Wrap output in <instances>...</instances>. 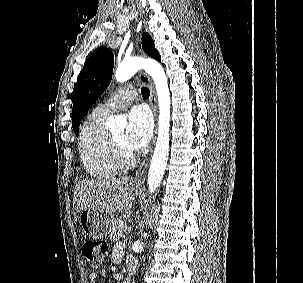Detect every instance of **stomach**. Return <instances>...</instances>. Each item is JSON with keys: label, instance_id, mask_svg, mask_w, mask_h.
Returning a JSON list of instances; mask_svg holds the SVG:
<instances>
[{"label": "stomach", "instance_id": "stomach-1", "mask_svg": "<svg viewBox=\"0 0 303 283\" xmlns=\"http://www.w3.org/2000/svg\"><path fill=\"white\" fill-rule=\"evenodd\" d=\"M133 191L138 192L137 187ZM114 217L111 213L94 209H84L79 213V223L82 233L94 239L107 237L112 228Z\"/></svg>", "mask_w": 303, "mask_h": 283}]
</instances>
